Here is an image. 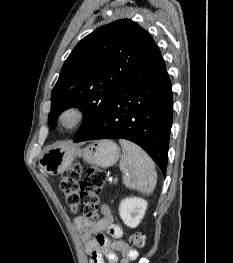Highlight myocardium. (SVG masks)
Returning a JSON list of instances; mask_svg holds the SVG:
<instances>
[{"instance_id":"f54148a6","label":"myocardium","mask_w":233,"mask_h":263,"mask_svg":"<svg viewBox=\"0 0 233 263\" xmlns=\"http://www.w3.org/2000/svg\"><path fill=\"white\" fill-rule=\"evenodd\" d=\"M84 118L85 113L80 107L69 106L60 112L58 123L62 128L72 130L81 125Z\"/></svg>"}]
</instances>
